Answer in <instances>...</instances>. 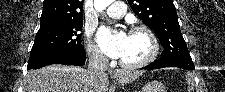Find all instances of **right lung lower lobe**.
<instances>
[{"mask_svg":"<svg viewBox=\"0 0 225 92\" xmlns=\"http://www.w3.org/2000/svg\"><path fill=\"white\" fill-rule=\"evenodd\" d=\"M86 61L84 47L77 49H58L41 54L31 55L27 69H38L50 64L81 66Z\"/></svg>","mask_w":225,"mask_h":92,"instance_id":"right-lung-lower-lobe-1","label":"right lung lower lobe"}]
</instances>
